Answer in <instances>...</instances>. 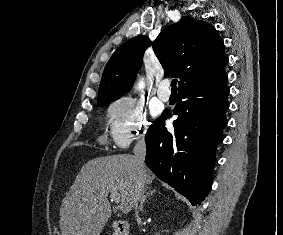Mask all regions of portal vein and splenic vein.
Here are the masks:
<instances>
[{
    "instance_id": "18ae733b",
    "label": "portal vein and splenic vein",
    "mask_w": 283,
    "mask_h": 235,
    "mask_svg": "<svg viewBox=\"0 0 283 235\" xmlns=\"http://www.w3.org/2000/svg\"><path fill=\"white\" fill-rule=\"evenodd\" d=\"M110 193H111V195H110L111 201L115 202L116 204H119L120 196H119L118 192L115 189H112L110 191Z\"/></svg>"
}]
</instances>
